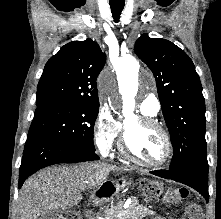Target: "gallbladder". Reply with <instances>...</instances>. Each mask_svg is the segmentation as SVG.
<instances>
[{
  "label": "gallbladder",
  "mask_w": 221,
  "mask_h": 219,
  "mask_svg": "<svg viewBox=\"0 0 221 219\" xmlns=\"http://www.w3.org/2000/svg\"><path fill=\"white\" fill-rule=\"evenodd\" d=\"M42 219H64L62 214L58 210H49L47 211Z\"/></svg>",
  "instance_id": "1"
}]
</instances>
